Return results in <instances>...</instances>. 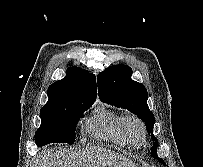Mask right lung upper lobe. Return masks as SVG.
<instances>
[{
  "mask_svg": "<svg viewBox=\"0 0 203 167\" xmlns=\"http://www.w3.org/2000/svg\"><path fill=\"white\" fill-rule=\"evenodd\" d=\"M49 100L41 110L63 106L73 101L96 100L95 75L77 67L67 69L66 76L54 82L47 91Z\"/></svg>",
  "mask_w": 203,
  "mask_h": 167,
  "instance_id": "right-lung-upper-lobe-1",
  "label": "right lung upper lobe"
}]
</instances>
